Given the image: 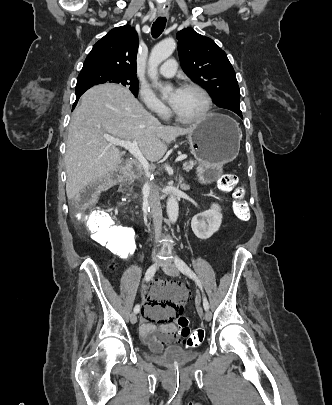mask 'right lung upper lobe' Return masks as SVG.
Masks as SVG:
<instances>
[{"mask_svg":"<svg viewBox=\"0 0 332 405\" xmlns=\"http://www.w3.org/2000/svg\"><path fill=\"white\" fill-rule=\"evenodd\" d=\"M137 50L138 34L135 29L128 25L116 27L93 46L80 73L108 70L136 76Z\"/></svg>","mask_w":332,"mask_h":405,"instance_id":"1","label":"right lung upper lobe"}]
</instances>
